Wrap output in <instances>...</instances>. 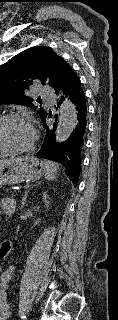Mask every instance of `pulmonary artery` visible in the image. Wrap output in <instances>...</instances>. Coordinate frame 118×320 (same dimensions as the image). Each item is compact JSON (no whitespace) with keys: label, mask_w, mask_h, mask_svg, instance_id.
<instances>
[{"label":"pulmonary artery","mask_w":118,"mask_h":320,"mask_svg":"<svg viewBox=\"0 0 118 320\" xmlns=\"http://www.w3.org/2000/svg\"><path fill=\"white\" fill-rule=\"evenodd\" d=\"M40 95L46 101H53L55 99L54 93L49 89L41 88Z\"/></svg>","instance_id":"pulmonary-artery-1"}]
</instances>
